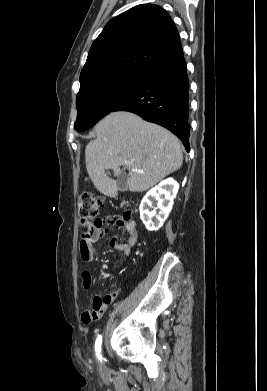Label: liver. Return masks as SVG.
Returning a JSON list of instances; mask_svg holds the SVG:
<instances>
[{
  "instance_id": "6515ba94",
  "label": "liver",
  "mask_w": 267,
  "mask_h": 391,
  "mask_svg": "<svg viewBox=\"0 0 267 391\" xmlns=\"http://www.w3.org/2000/svg\"><path fill=\"white\" fill-rule=\"evenodd\" d=\"M94 130L97 138L85 149L86 169L95 188L106 196L114 197L118 188L117 181L107 176L105 170L112 169L117 177L121 174L120 166H125L129 170L130 191L142 192L182 165L179 139L131 112L110 113Z\"/></svg>"
}]
</instances>
